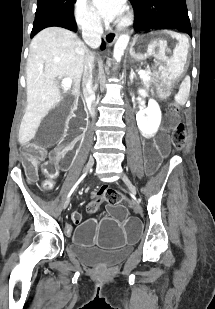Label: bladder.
<instances>
[{
	"instance_id": "1",
	"label": "bladder",
	"mask_w": 215,
	"mask_h": 309,
	"mask_svg": "<svg viewBox=\"0 0 215 309\" xmlns=\"http://www.w3.org/2000/svg\"><path fill=\"white\" fill-rule=\"evenodd\" d=\"M80 263L90 267L109 268L120 264L127 257L129 250L120 249L115 251L77 250L72 249Z\"/></svg>"
}]
</instances>
